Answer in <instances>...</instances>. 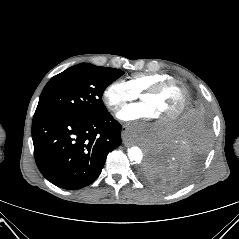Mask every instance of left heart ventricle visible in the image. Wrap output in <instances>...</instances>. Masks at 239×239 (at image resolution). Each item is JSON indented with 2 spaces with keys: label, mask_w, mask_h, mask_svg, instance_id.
<instances>
[{
  "label": "left heart ventricle",
  "mask_w": 239,
  "mask_h": 239,
  "mask_svg": "<svg viewBox=\"0 0 239 239\" xmlns=\"http://www.w3.org/2000/svg\"><path fill=\"white\" fill-rule=\"evenodd\" d=\"M141 100L149 106L154 118L162 121L179 108L182 94L178 87L169 86L158 94L145 95Z\"/></svg>",
  "instance_id": "b2bd125f"
}]
</instances>
